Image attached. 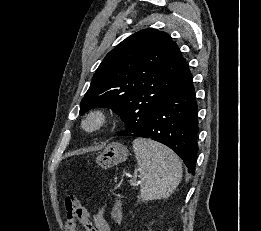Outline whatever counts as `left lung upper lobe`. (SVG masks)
<instances>
[{
    "label": "left lung upper lobe",
    "instance_id": "obj_1",
    "mask_svg": "<svg viewBox=\"0 0 261 231\" xmlns=\"http://www.w3.org/2000/svg\"><path fill=\"white\" fill-rule=\"evenodd\" d=\"M191 78L171 37L143 29L106 55L81 101L80 114L105 106L120 115L126 128L143 126Z\"/></svg>",
    "mask_w": 261,
    "mask_h": 231
}]
</instances>
